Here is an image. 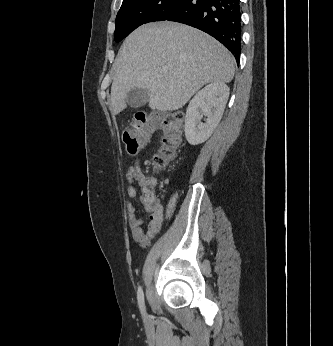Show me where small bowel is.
Returning <instances> with one entry per match:
<instances>
[{
  "label": "small bowel",
  "instance_id": "obj_1",
  "mask_svg": "<svg viewBox=\"0 0 333 346\" xmlns=\"http://www.w3.org/2000/svg\"><path fill=\"white\" fill-rule=\"evenodd\" d=\"M129 182L127 193L130 198H136L138 191L136 184L142 188L139 196L145 210L149 213L150 221L147 229L143 228V219L137 215L136 207L133 203H127L129 227L131 230L134 244L148 246L155 236L160 232L163 223V206L157 200L155 194L148 192L146 194L147 179L144 178L140 163L137 161L131 165L126 173Z\"/></svg>",
  "mask_w": 333,
  "mask_h": 346
}]
</instances>
